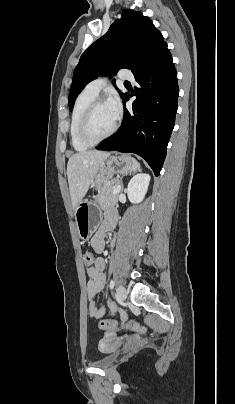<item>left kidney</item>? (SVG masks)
Instances as JSON below:
<instances>
[{
  "label": "left kidney",
  "mask_w": 235,
  "mask_h": 404,
  "mask_svg": "<svg viewBox=\"0 0 235 404\" xmlns=\"http://www.w3.org/2000/svg\"><path fill=\"white\" fill-rule=\"evenodd\" d=\"M150 175L146 173L136 174L128 183L127 195L132 203H140L148 190Z\"/></svg>",
  "instance_id": "1"
}]
</instances>
